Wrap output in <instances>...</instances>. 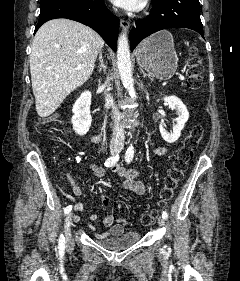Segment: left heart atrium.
Returning a JSON list of instances; mask_svg holds the SVG:
<instances>
[{
  "label": "left heart atrium",
  "mask_w": 240,
  "mask_h": 281,
  "mask_svg": "<svg viewBox=\"0 0 240 281\" xmlns=\"http://www.w3.org/2000/svg\"><path fill=\"white\" fill-rule=\"evenodd\" d=\"M115 5L130 11L138 10L142 7L144 0H111Z\"/></svg>",
  "instance_id": "obj_1"
}]
</instances>
